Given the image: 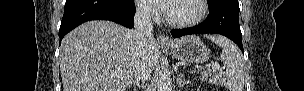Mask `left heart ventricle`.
Segmentation results:
<instances>
[{
  "label": "left heart ventricle",
  "mask_w": 304,
  "mask_h": 91,
  "mask_svg": "<svg viewBox=\"0 0 304 91\" xmlns=\"http://www.w3.org/2000/svg\"><path fill=\"white\" fill-rule=\"evenodd\" d=\"M199 5L196 0L170 1L167 14L173 20H189L197 16Z\"/></svg>",
  "instance_id": "obj_1"
}]
</instances>
